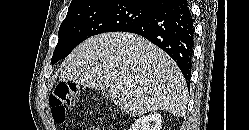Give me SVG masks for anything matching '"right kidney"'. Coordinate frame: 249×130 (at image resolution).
<instances>
[{
  "label": "right kidney",
  "instance_id": "obj_1",
  "mask_svg": "<svg viewBox=\"0 0 249 130\" xmlns=\"http://www.w3.org/2000/svg\"><path fill=\"white\" fill-rule=\"evenodd\" d=\"M162 125L161 114L155 112L137 119L130 130H160Z\"/></svg>",
  "mask_w": 249,
  "mask_h": 130
}]
</instances>
